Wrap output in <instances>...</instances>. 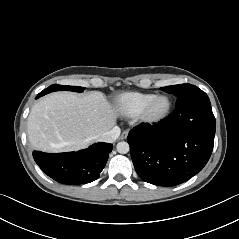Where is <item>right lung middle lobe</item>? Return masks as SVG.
I'll return each instance as SVG.
<instances>
[{
  "label": "right lung middle lobe",
  "instance_id": "right-lung-middle-lobe-1",
  "mask_svg": "<svg viewBox=\"0 0 239 239\" xmlns=\"http://www.w3.org/2000/svg\"><path fill=\"white\" fill-rule=\"evenodd\" d=\"M84 89H85L84 87H78V86H64V85L53 84L49 86L47 89L43 90L39 95L42 96L50 92L62 91V90L82 92Z\"/></svg>",
  "mask_w": 239,
  "mask_h": 239
}]
</instances>
